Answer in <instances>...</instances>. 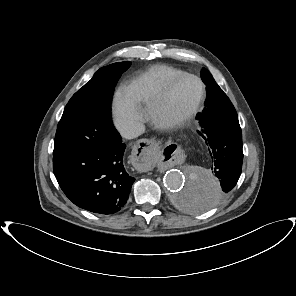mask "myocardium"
<instances>
[{"label":"myocardium","instance_id":"myocardium-1","mask_svg":"<svg viewBox=\"0 0 296 296\" xmlns=\"http://www.w3.org/2000/svg\"><path fill=\"white\" fill-rule=\"evenodd\" d=\"M186 78L194 79L200 88V93L197 101L192 106V108L186 112L184 115L175 118L166 117L163 114L164 107L167 103V100L175 88V86L182 80ZM206 98V87L202 79L191 73H184L175 78H173L157 96V98L149 106V117L151 122L159 129L163 130H176L188 125L194 120V118L199 113L204 101Z\"/></svg>","mask_w":296,"mask_h":296}]
</instances>
